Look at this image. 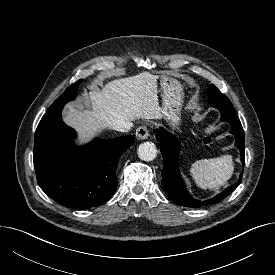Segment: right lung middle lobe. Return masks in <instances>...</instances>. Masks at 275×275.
Returning a JSON list of instances; mask_svg holds the SVG:
<instances>
[{"instance_id": "right-lung-middle-lobe-1", "label": "right lung middle lobe", "mask_w": 275, "mask_h": 275, "mask_svg": "<svg viewBox=\"0 0 275 275\" xmlns=\"http://www.w3.org/2000/svg\"><path fill=\"white\" fill-rule=\"evenodd\" d=\"M80 82L81 80L69 86L66 91L56 101L53 102L47 112L61 109L67 102L73 100L76 96V89Z\"/></svg>"}]
</instances>
